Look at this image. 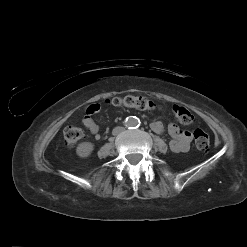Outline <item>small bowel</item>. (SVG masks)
I'll return each mask as SVG.
<instances>
[{
  "label": "small bowel",
  "mask_w": 247,
  "mask_h": 247,
  "mask_svg": "<svg viewBox=\"0 0 247 247\" xmlns=\"http://www.w3.org/2000/svg\"><path fill=\"white\" fill-rule=\"evenodd\" d=\"M100 111V105L97 103L91 104L86 110V114L82 119L83 126L95 137L100 139L99 126L95 123L92 116ZM151 129L155 133H162L164 131V125L161 121H153L150 124ZM168 133L171 136L169 147L171 151L175 153L187 152L190 148L193 135L190 131L181 130L175 123L168 125Z\"/></svg>",
  "instance_id": "c3829d8e"
}]
</instances>
